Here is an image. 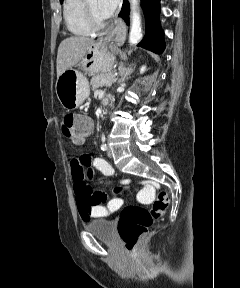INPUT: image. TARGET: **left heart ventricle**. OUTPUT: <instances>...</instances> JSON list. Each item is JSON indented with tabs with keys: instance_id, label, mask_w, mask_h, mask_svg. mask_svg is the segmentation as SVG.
I'll return each mask as SVG.
<instances>
[{
	"instance_id": "obj_1",
	"label": "left heart ventricle",
	"mask_w": 240,
	"mask_h": 288,
	"mask_svg": "<svg viewBox=\"0 0 240 288\" xmlns=\"http://www.w3.org/2000/svg\"><path fill=\"white\" fill-rule=\"evenodd\" d=\"M90 8L92 9L95 17L98 19V20H104L105 18L100 14V12L98 11V8H97V0H87Z\"/></svg>"
}]
</instances>
